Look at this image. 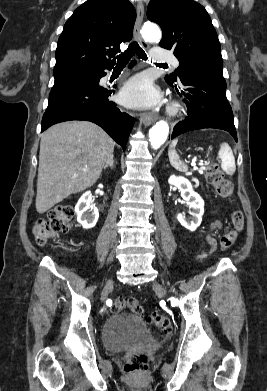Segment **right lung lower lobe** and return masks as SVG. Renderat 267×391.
Instances as JSON below:
<instances>
[{
  "label": "right lung lower lobe",
  "instance_id": "right-lung-lower-lobe-1",
  "mask_svg": "<svg viewBox=\"0 0 267 391\" xmlns=\"http://www.w3.org/2000/svg\"><path fill=\"white\" fill-rule=\"evenodd\" d=\"M134 64L135 61L130 67ZM111 68H100L84 79L53 87L42 118V131L63 121L87 120L101 126L125 150L134 119L108 100L113 88L99 85L100 78L106 75L104 70Z\"/></svg>",
  "mask_w": 267,
  "mask_h": 391
}]
</instances>
